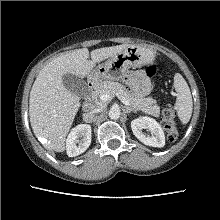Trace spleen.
<instances>
[{
    "mask_svg": "<svg viewBox=\"0 0 220 220\" xmlns=\"http://www.w3.org/2000/svg\"><path fill=\"white\" fill-rule=\"evenodd\" d=\"M174 87L177 92V115L183 124H187L192 115L193 102L189 86L179 73L175 74L174 76Z\"/></svg>",
    "mask_w": 220,
    "mask_h": 220,
    "instance_id": "obj_1",
    "label": "spleen"
}]
</instances>
